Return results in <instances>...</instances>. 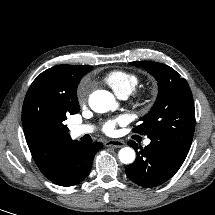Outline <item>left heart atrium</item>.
Segmentation results:
<instances>
[{"label":"left heart atrium","mask_w":215,"mask_h":215,"mask_svg":"<svg viewBox=\"0 0 215 215\" xmlns=\"http://www.w3.org/2000/svg\"><path fill=\"white\" fill-rule=\"evenodd\" d=\"M124 122V118L119 117L117 119H112V120H108L103 124V131L108 134L111 135L115 132V127L117 124L119 123H123Z\"/></svg>","instance_id":"39dd6f15"}]
</instances>
